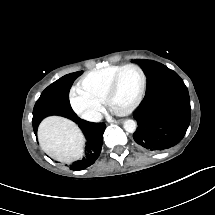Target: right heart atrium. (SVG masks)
<instances>
[{"instance_id":"right-heart-atrium-1","label":"right heart atrium","mask_w":215,"mask_h":215,"mask_svg":"<svg viewBox=\"0 0 215 215\" xmlns=\"http://www.w3.org/2000/svg\"><path fill=\"white\" fill-rule=\"evenodd\" d=\"M69 106L79 117L87 121H96L100 118L101 107L90 96L73 91Z\"/></svg>"}]
</instances>
